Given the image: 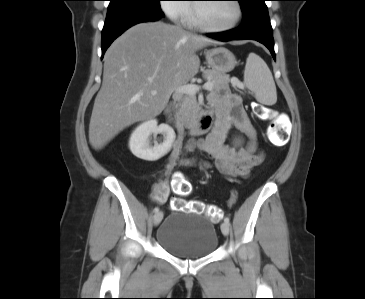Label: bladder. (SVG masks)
<instances>
[{
    "label": "bladder",
    "mask_w": 365,
    "mask_h": 299,
    "mask_svg": "<svg viewBox=\"0 0 365 299\" xmlns=\"http://www.w3.org/2000/svg\"><path fill=\"white\" fill-rule=\"evenodd\" d=\"M157 243L180 258H203L211 255L219 244L215 223L199 214L176 210L160 225Z\"/></svg>",
    "instance_id": "bladder-1"
}]
</instances>
